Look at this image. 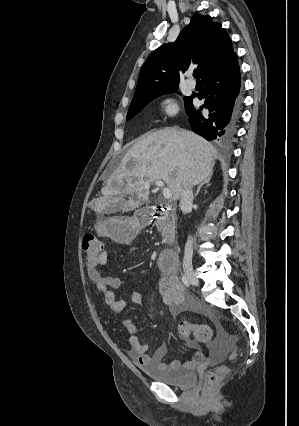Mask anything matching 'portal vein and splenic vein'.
Masks as SVG:
<instances>
[{"label":"portal vein and splenic vein","instance_id":"obj_1","mask_svg":"<svg viewBox=\"0 0 299 426\" xmlns=\"http://www.w3.org/2000/svg\"><path fill=\"white\" fill-rule=\"evenodd\" d=\"M154 184H155L157 187H162V188H163V196H164L166 199H170V198L172 197V193H171L170 189L164 186V182H163V181H161V180H156V181H154Z\"/></svg>","mask_w":299,"mask_h":426}]
</instances>
